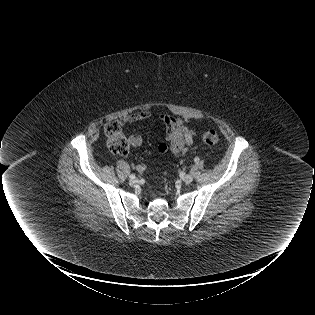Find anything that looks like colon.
<instances>
[{"label":"colon","mask_w":315,"mask_h":315,"mask_svg":"<svg viewBox=\"0 0 315 315\" xmlns=\"http://www.w3.org/2000/svg\"><path fill=\"white\" fill-rule=\"evenodd\" d=\"M105 136L109 150L117 155H125L129 151V142L122 130V124L119 121H113L105 126ZM203 141L208 145L218 143L219 136L216 131H207L203 137Z\"/></svg>","instance_id":"5ec220e1"}]
</instances>
